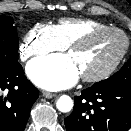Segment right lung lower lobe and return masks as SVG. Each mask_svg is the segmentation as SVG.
<instances>
[{
    "mask_svg": "<svg viewBox=\"0 0 131 131\" xmlns=\"http://www.w3.org/2000/svg\"><path fill=\"white\" fill-rule=\"evenodd\" d=\"M38 96L20 64L0 69V131H24Z\"/></svg>",
    "mask_w": 131,
    "mask_h": 131,
    "instance_id": "98d812e1",
    "label": "right lung lower lobe"
}]
</instances>
